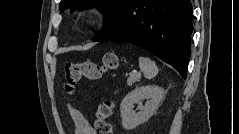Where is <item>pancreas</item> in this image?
<instances>
[{
  "mask_svg": "<svg viewBox=\"0 0 239 134\" xmlns=\"http://www.w3.org/2000/svg\"><path fill=\"white\" fill-rule=\"evenodd\" d=\"M141 78V75L139 73L131 74L129 78L127 79V85L132 86L136 82H139Z\"/></svg>",
  "mask_w": 239,
  "mask_h": 134,
  "instance_id": "cf45deb5",
  "label": "pancreas"
}]
</instances>
